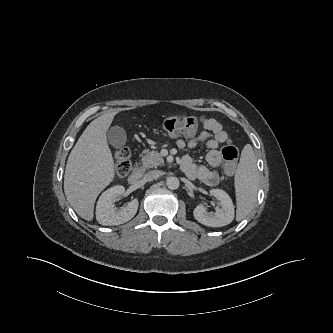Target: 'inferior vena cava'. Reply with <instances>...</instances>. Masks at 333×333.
<instances>
[{
  "label": "inferior vena cava",
  "mask_w": 333,
  "mask_h": 333,
  "mask_svg": "<svg viewBox=\"0 0 333 333\" xmlns=\"http://www.w3.org/2000/svg\"><path fill=\"white\" fill-rule=\"evenodd\" d=\"M162 175V172L159 170H152L145 174L144 179L146 181H152L158 179Z\"/></svg>",
  "instance_id": "1"
}]
</instances>
